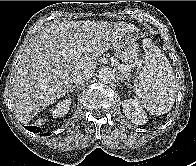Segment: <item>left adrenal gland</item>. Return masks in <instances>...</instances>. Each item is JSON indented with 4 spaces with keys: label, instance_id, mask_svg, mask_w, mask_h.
<instances>
[{
    "label": "left adrenal gland",
    "instance_id": "obj_1",
    "mask_svg": "<svg viewBox=\"0 0 196 166\" xmlns=\"http://www.w3.org/2000/svg\"><path fill=\"white\" fill-rule=\"evenodd\" d=\"M120 79H121V81H124L126 85H129V83H128L129 80L126 81L125 78H124V76L121 75L120 76Z\"/></svg>",
    "mask_w": 196,
    "mask_h": 166
}]
</instances>
